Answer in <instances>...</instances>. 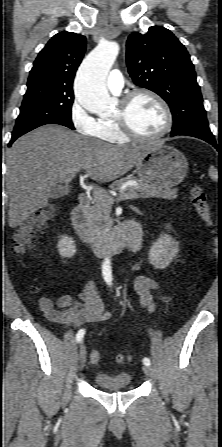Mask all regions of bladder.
<instances>
[{"label": "bladder", "instance_id": "1", "mask_svg": "<svg viewBox=\"0 0 222 447\" xmlns=\"http://www.w3.org/2000/svg\"><path fill=\"white\" fill-rule=\"evenodd\" d=\"M131 375L126 371L99 372L94 376L95 384L105 391H120L130 388Z\"/></svg>", "mask_w": 222, "mask_h": 447}]
</instances>
